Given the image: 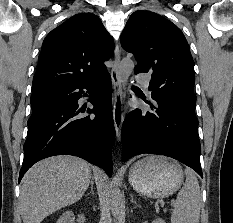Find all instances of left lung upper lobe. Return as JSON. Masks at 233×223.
Instances as JSON below:
<instances>
[{"mask_svg":"<svg viewBox=\"0 0 233 223\" xmlns=\"http://www.w3.org/2000/svg\"><path fill=\"white\" fill-rule=\"evenodd\" d=\"M122 47L133 53L136 73H152L149 90L155 101L196 104L194 61L182 31L150 11L134 12L121 35Z\"/></svg>","mask_w":233,"mask_h":223,"instance_id":"5c2ea615","label":"left lung upper lobe"}]
</instances>
